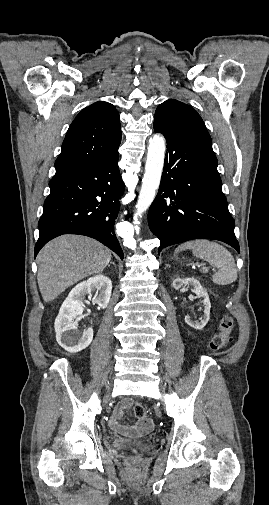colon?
<instances>
[{
	"instance_id": "1",
	"label": "colon",
	"mask_w": 269,
	"mask_h": 505,
	"mask_svg": "<svg viewBox=\"0 0 269 505\" xmlns=\"http://www.w3.org/2000/svg\"><path fill=\"white\" fill-rule=\"evenodd\" d=\"M233 330L234 322L232 317L225 315L220 322L219 332L212 337L209 343L210 349L213 352H218L224 349L231 340ZM133 410L135 416L139 419L146 416V409L142 404H136ZM131 453L133 452L131 451Z\"/></svg>"
}]
</instances>
